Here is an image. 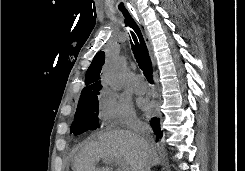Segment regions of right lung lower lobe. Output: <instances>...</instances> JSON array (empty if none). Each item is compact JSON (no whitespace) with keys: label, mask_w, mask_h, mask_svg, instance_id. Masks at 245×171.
I'll return each mask as SVG.
<instances>
[{"label":"right lung lower lobe","mask_w":245,"mask_h":171,"mask_svg":"<svg viewBox=\"0 0 245 171\" xmlns=\"http://www.w3.org/2000/svg\"><path fill=\"white\" fill-rule=\"evenodd\" d=\"M150 124H151L153 131H154L156 140L158 141L160 138H162V131L160 128V119L154 117L150 120Z\"/></svg>","instance_id":"right-lung-lower-lobe-1"}]
</instances>
